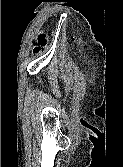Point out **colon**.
I'll return each instance as SVG.
<instances>
[{"label": "colon", "instance_id": "obj_1", "mask_svg": "<svg viewBox=\"0 0 123 167\" xmlns=\"http://www.w3.org/2000/svg\"><path fill=\"white\" fill-rule=\"evenodd\" d=\"M46 43H47L46 33L45 32L39 33V35L37 37V44L33 48V53L34 54H39L41 52L42 48L46 45Z\"/></svg>", "mask_w": 123, "mask_h": 167}]
</instances>
